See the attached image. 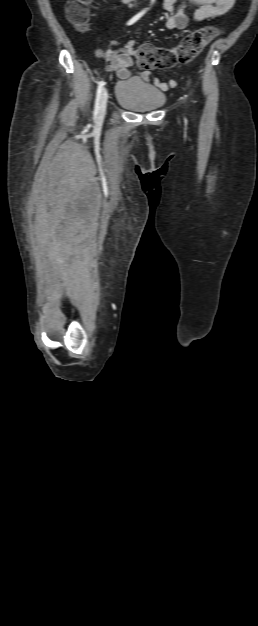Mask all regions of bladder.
<instances>
[{"label":"bladder","instance_id":"31cf9c89","mask_svg":"<svg viewBox=\"0 0 258 626\" xmlns=\"http://www.w3.org/2000/svg\"><path fill=\"white\" fill-rule=\"evenodd\" d=\"M115 100L129 110L150 112L164 105L166 95L140 77H127L116 84Z\"/></svg>","mask_w":258,"mask_h":626}]
</instances>
